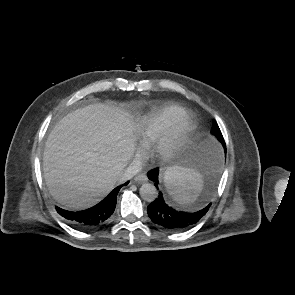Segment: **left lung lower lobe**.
I'll list each match as a JSON object with an SVG mask.
<instances>
[{"label":"left lung lower lobe","instance_id":"left-lung-lower-lobe-1","mask_svg":"<svg viewBox=\"0 0 295 295\" xmlns=\"http://www.w3.org/2000/svg\"><path fill=\"white\" fill-rule=\"evenodd\" d=\"M158 172V168L148 172V178L155 182L156 187H158ZM210 206L211 203L193 213L176 211L165 203L160 192L159 197L147 207V212L152 222L160 227L169 231H183L196 224L207 213Z\"/></svg>","mask_w":295,"mask_h":295}]
</instances>
